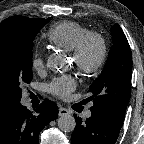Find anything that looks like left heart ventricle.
I'll list each match as a JSON object with an SVG mask.
<instances>
[{
    "label": "left heart ventricle",
    "mask_w": 144,
    "mask_h": 144,
    "mask_svg": "<svg viewBox=\"0 0 144 144\" xmlns=\"http://www.w3.org/2000/svg\"><path fill=\"white\" fill-rule=\"evenodd\" d=\"M98 53V46L96 43L92 42L88 47V59L93 60Z\"/></svg>",
    "instance_id": "left-heart-ventricle-1"
}]
</instances>
